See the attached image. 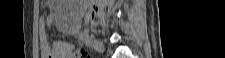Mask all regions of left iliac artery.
Here are the masks:
<instances>
[{"instance_id":"1","label":"left iliac artery","mask_w":225,"mask_h":58,"mask_svg":"<svg viewBox=\"0 0 225 58\" xmlns=\"http://www.w3.org/2000/svg\"><path fill=\"white\" fill-rule=\"evenodd\" d=\"M82 37H83L84 41L87 43L88 42V39H89V36L87 35L86 32H83L82 33Z\"/></svg>"}]
</instances>
